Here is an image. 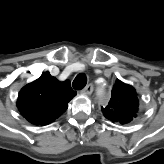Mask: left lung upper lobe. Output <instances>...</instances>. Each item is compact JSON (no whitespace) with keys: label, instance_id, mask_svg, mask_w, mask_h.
Returning a JSON list of instances; mask_svg holds the SVG:
<instances>
[{"label":"left lung upper lobe","instance_id":"5c2ea615","mask_svg":"<svg viewBox=\"0 0 164 164\" xmlns=\"http://www.w3.org/2000/svg\"><path fill=\"white\" fill-rule=\"evenodd\" d=\"M138 102L135 89L117 79L110 102L102 111L108 120L126 124L136 117Z\"/></svg>","mask_w":164,"mask_h":164}]
</instances>
